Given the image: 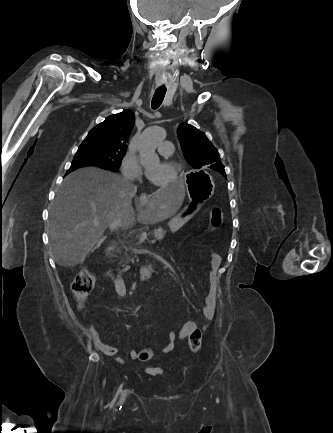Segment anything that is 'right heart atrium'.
<instances>
[{"label":"right heart atrium","mask_w":333,"mask_h":433,"mask_svg":"<svg viewBox=\"0 0 333 433\" xmlns=\"http://www.w3.org/2000/svg\"><path fill=\"white\" fill-rule=\"evenodd\" d=\"M121 172L127 179H138L142 170L137 159L131 154H126L121 162Z\"/></svg>","instance_id":"right-heart-atrium-1"}]
</instances>
